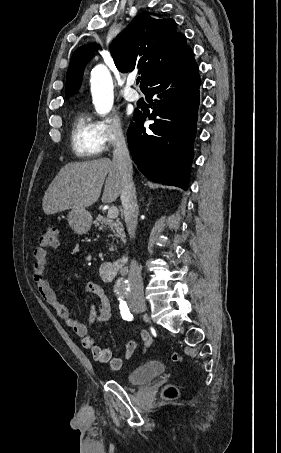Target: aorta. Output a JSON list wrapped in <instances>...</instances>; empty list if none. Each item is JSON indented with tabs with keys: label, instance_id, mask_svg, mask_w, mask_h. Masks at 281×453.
Instances as JSON below:
<instances>
[{
	"label": "aorta",
	"instance_id": "1",
	"mask_svg": "<svg viewBox=\"0 0 281 453\" xmlns=\"http://www.w3.org/2000/svg\"><path fill=\"white\" fill-rule=\"evenodd\" d=\"M90 83L96 112L100 115L107 114L114 101L113 81L108 68L102 64L95 66L91 71ZM117 287L120 288L119 284Z\"/></svg>",
	"mask_w": 281,
	"mask_h": 453
}]
</instances>
